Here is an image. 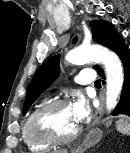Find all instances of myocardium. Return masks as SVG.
Returning a JSON list of instances; mask_svg holds the SVG:
<instances>
[{
  "mask_svg": "<svg viewBox=\"0 0 130 153\" xmlns=\"http://www.w3.org/2000/svg\"><path fill=\"white\" fill-rule=\"evenodd\" d=\"M70 105L67 99H55L50 100L42 105H40L35 111L30 115L27 122V132L29 136L37 141L48 144H67L76 139L80 132V127L77 126L76 129L67 136H59L55 134L50 128L42 125L43 118L51 113L52 111Z\"/></svg>",
  "mask_w": 130,
  "mask_h": 153,
  "instance_id": "myocardium-1",
  "label": "myocardium"
}]
</instances>
